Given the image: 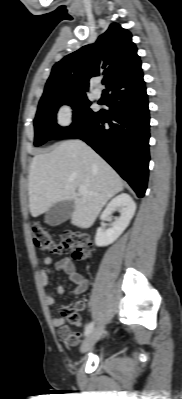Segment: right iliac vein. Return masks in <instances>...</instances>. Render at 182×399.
Instances as JSON below:
<instances>
[{
	"instance_id": "right-iliac-vein-1",
	"label": "right iliac vein",
	"mask_w": 182,
	"mask_h": 399,
	"mask_svg": "<svg viewBox=\"0 0 182 399\" xmlns=\"http://www.w3.org/2000/svg\"><path fill=\"white\" fill-rule=\"evenodd\" d=\"M103 330H104V326L98 325L96 328H94L91 331V333L87 336V338L83 341V343L81 345L80 350L82 353L89 351L94 346V344L101 337Z\"/></svg>"
}]
</instances>
